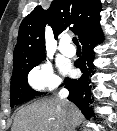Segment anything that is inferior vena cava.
Here are the masks:
<instances>
[{"mask_svg":"<svg viewBox=\"0 0 117 131\" xmlns=\"http://www.w3.org/2000/svg\"><path fill=\"white\" fill-rule=\"evenodd\" d=\"M68 95H69V92H68L67 89H64V88H63V89H61L60 92H59V98H60V100H62V101L65 102V103H68V101H67ZM67 131H74V127H73L72 124L69 125Z\"/></svg>","mask_w":117,"mask_h":131,"instance_id":"obj_1","label":"inferior vena cava"}]
</instances>
